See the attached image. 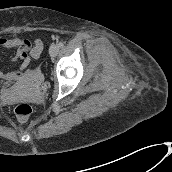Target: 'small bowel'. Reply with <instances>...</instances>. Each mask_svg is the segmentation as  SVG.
<instances>
[{
	"label": "small bowel",
	"mask_w": 172,
	"mask_h": 172,
	"mask_svg": "<svg viewBox=\"0 0 172 172\" xmlns=\"http://www.w3.org/2000/svg\"><path fill=\"white\" fill-rule=\"evenodd\" d=\"M0 49L16 50L12 60L18 63V69L14 71H0V79L5 83H11L22 75L30 63V58H39L43 50V43L41 39H36L34 43H31L26 38L0 37Z\"/></svg>",
	"instance_id": "small-bowel-1"
}]
</instances>
